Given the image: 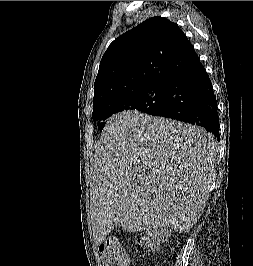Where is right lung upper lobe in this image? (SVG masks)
<instances>
[{"instance_id":"right-lung-upper-lobe-1","label":"right lung upper lobe","mask_w":253,"mask_h":266,"mask_svg":"<svg viewBox=\"0 0 253 266\" xmlns=\"http://www.w3.org/2000/svg\"><path fill=\"white\" fill-rule=\"evenodd\" d=\"M198 59L177 24L152 17L109 45L95 80L93 105L152 82H168Z\"/></svg>"}]
</instances>
